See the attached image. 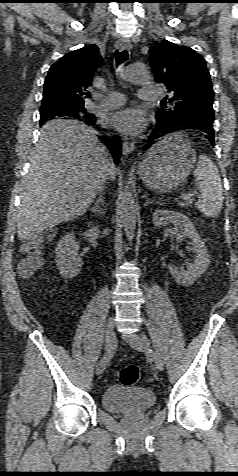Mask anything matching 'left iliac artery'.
Here are the masks:
<instances>
[{
  "label": "left iliac artery",
  "instance_id": "obj_1",
  "mask_svg": "<svg viewBox=\"0 0 238 476\" xmlns=\"http://www.w3.org/2000/svg\"><path fill=\"white\" fill-rule=\"evenodd\" d=\"M141 337L144 341L148 342L147 336L144 333L141 334Z\"/></svg>",
  "mask_w": 238,
  "mask_h": 476
}]
</instances>
